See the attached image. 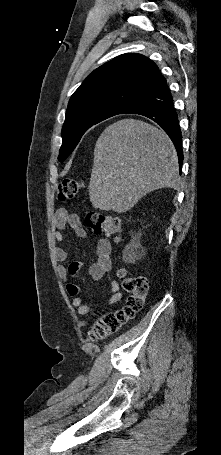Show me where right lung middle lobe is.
<instances>
[{"label":"right lung middle lobe","instance_id":"1","mask_svg":"<svg viewBox=\"0 0 221 455\" xmlns=\"http://www.w3.org/2000/svg\"><path fill=\"white\" fill-rule=\"evenodd\" d=\"M124 108L115 103L98 102L79 106L66 113L62 128L63 143L59 152V161L63 162L75 149L82 135L93 125L117 114Z\"/></svg>","mask_w":221,"mask_h":455}]
</instances>
